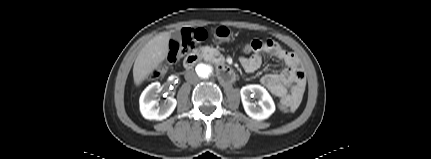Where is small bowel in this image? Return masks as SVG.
Here are the masks:
<instances>
[{"label":"small bowel","instance_id":"1","mask_svg":"<svg viewBox=\"0 0 431 159\" xmlns=\"http://www.w3.org/2000/svg\"><path fill=\"white\" fill-rule=\"evenodd\" d=\"M252 51L248 57H241L240 63L246 72L256 71L262 64L263 54H270L284 64L280 73L265 74L261 82L282 104L287 111L294 112L298 108L305 91V73L299 67L297 57L285 50L273 40L254 39L251 41Z\"/></svg>","mask_w":431,"mask_h":159}]
</instances>
